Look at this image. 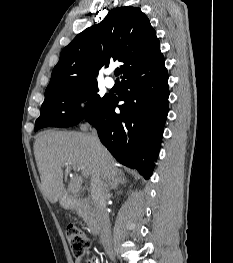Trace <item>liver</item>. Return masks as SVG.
<instances>
[{
  "label": "liver",
  "instance_id": "6515ba94",
  "mask_svg": "<svg viewBox=\"0 0 233 263\" xmlns=\"http://www.w3.org/2000/svg\"><path fill=\"white\" fill-rule=\"evenodd\" d=\"M34 155L41 179L43 195L54 204L64 193L65 180L72 166H76L91 182L112 183L122 171L109 153L101 145L96 150L90 134L80 132L46 131L40 133L34 143Z\"/></svg>",
  "mask_w": 233,
  "mask_h": 263
}]
</instances>
